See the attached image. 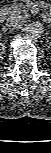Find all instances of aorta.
Returning a JSON list of instances; mask_svg holds the SVG:
<instances>
[{
    "mask_svg": "<svg viewBox=\"0 0 51 153\" xmlns=\"http://www.w3.org/2000/svg\"><path fill=\"white\" fill-rule=\"evenodd\" d=\"M25 33L30 39H38L44 33V26L40 22H33L27 26Z\"/></svg>",
    "mask_w": 51,
    "mask_h": 153,
    "instance_id": "obj_1",
    "label": "aorta"
}]
</instances>
